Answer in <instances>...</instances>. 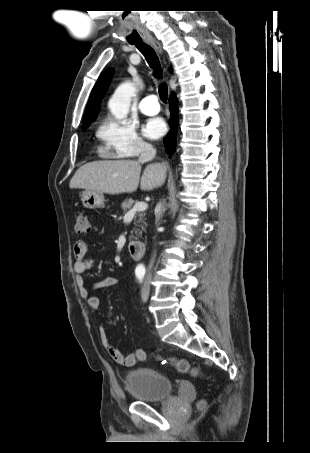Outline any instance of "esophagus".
Wrapping results in <instances>:
<instances>
[{
  "instance_id": "1",
  "label": "esophagus",
  "mask_w": 310,
  "mask_h": 453,
  "mask_svg": "<svg viewBox=\"0 0 310 453\" xmlns=\"http://www.w3.org/2000/svg\"><path fill=\"white\" fill-rule=\"evenodd\" d=\"M146 41L150 44H152L159 52L162 51L160 43L155 40L153 37H148Z\"/></svg>"
}]
</instances>
